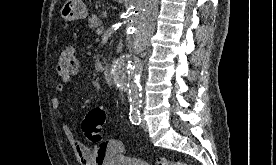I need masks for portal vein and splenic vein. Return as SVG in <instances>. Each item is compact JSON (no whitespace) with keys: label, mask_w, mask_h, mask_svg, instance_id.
<instances>
[{"label":"portal vein and splenic vein","mask_w":276,"mask_h":165,"mask_svg":"<svg viewBox=\"0 0 276 165\" xmlns=\"http://www.w3.org/2000/svg\"><path fill=\"white\" fill-rule=\"evenodd\" d=\"M105 29L104 27H100L98 30H97V34L98 35H102L104 33Z\"/></svg>","instance_id":"1"}]
</instances>
